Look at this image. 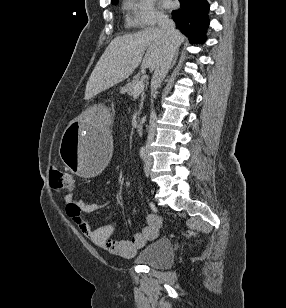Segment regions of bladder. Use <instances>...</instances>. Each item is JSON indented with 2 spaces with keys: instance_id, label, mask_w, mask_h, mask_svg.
Listing matches in <instances>:
<instances>
[{
  "instance_id": "31cf9c89",
  "label": "bladder",
  "mask_w": 286,
  "mask_h": 308,
  "mask_svg": "<svg viewBox=\"0 0 286 308\" xmlns=\"http://www.w3.org/2000/svg\"><path fill=\"white\" fill-rule=\"evenodd\" d=\"M174 261V248L171 240L160 238L147 244L135 257V262L156 268H165Z\"/></svg>"
}]
</instances>
